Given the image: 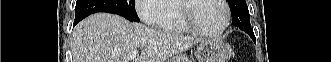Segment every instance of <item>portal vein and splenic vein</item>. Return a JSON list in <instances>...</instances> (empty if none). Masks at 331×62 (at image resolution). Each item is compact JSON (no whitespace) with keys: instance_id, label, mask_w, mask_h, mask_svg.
<instances>
[{"instance_id":"portal-vein-and-splenic-vein-1","label":"portal vein and splenic vein","mask_w":331,"mask_h":62,"mask_svg":"<svg viewBox=\"0 0 331 62\" xmlns=\"http://www.w3.org/2000/svg\"><path fill=\"white\" fill-rule=\"evenodd\" d=\"M137 54H138V50L131 51V52L127 55V58H128V59H130V58H134V57H136Z\"/></svg>"}]
</instances>
